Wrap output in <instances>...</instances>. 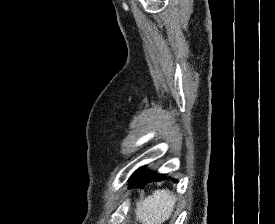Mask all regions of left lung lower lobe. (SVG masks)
<instances>
[{
    "label": "left lung lower lobe",
    "instance_id": "obj_1",
    "mask_svg": "<svg viewBox=\"0 0 275 224\" xmlns=\"http://www.w3.org/2000/svg\"><path fill=\"white\" fill-rule=\"evenodd\" d=\"M163 179V175H160L156 172L146 171L144 170V167H142L136 170L135 173L130 177L129 183L130 187H144V185L150 181H161Z\"/></svg>",
    "mask_w": 275,
    "mask_h": 224
}]
</instances>
